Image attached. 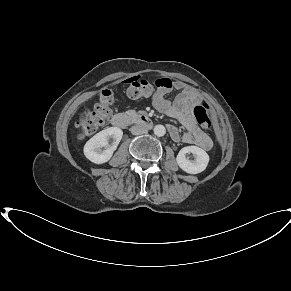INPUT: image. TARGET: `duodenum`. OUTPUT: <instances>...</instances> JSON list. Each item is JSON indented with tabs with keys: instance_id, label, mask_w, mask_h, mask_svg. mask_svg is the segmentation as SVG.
<instances>
[{
	"instance_id": "410a0bca",
	"label": "duodenum",
	"mask_w": 291,
	"mask_h": 291,
	"mask_svg": "<svg viewBox=\"0 0 291 291\" xmlns=\"http://www.w3.org/2000/svg\"><path fill=\"white\" fill-rule=\"evenodd\" d=\"M111 122L113 126L117 128H126L132 123L146 128L152 126V120L147 115H137L133 117L124 113H117L112 117Z\"/></svg>"
}]
</instances>
